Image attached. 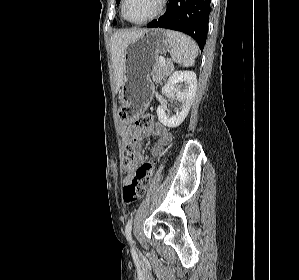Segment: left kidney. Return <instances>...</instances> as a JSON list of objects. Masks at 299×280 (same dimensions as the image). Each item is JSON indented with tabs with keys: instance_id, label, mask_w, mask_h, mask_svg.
I'll return each mask as SVG.
<instances>
[{
	"instance_id": "left-kidney-1",
	"label": "left kidney",
	"mask_w": 299,
	"mask_h": 280,
	"mask_svg": "<svg viewBox=\"0 0 299 280\" xmlns=\"http://www.w3.org/2000/svg\"><path fill=\"white\" fill-rule=\"evenodd\" d=\"M179 83H184V89L180 90ZM197 91V78L193 71H176L171 74L167 83L162 88V94H169L174 92L176 100L182 103L180 111L169 117L165 113V105H160L157 108V116L159 121L167 127H178L189 113L192 102Z\"/></svg>"
}]
</instances>
